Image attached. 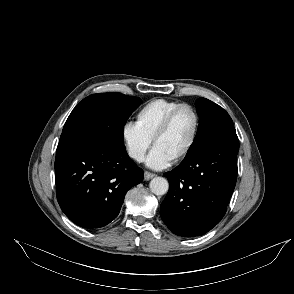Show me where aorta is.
<instances>
[{"label":"aorta","instance_id":"aorta-1","mask_svg":"<svg viewBox=\"0 0 294 294\" xmlns=\"http://www.w3.org/2000/svg\"><path fill=\"white\" fill-rule=\"evenodd\" d=\"M149 187L155 195H164L169 189V184L165 178L155 177L150 181Z\"/></svg>","mask_w":294,"mask_h":294}]
</instances>
